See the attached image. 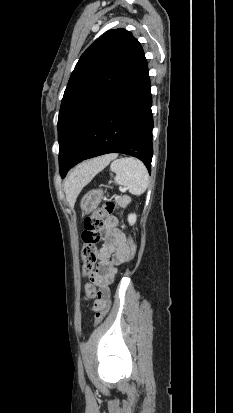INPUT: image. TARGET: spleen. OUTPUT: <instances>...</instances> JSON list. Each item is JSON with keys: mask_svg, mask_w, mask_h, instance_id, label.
<instances>
[{"mask_svg": "<svg viewBox=\"0 0 233 413\" xmlns=\"http://www.w3.org/2000/svg\"><path fill=\"white\" fill-rule=\"evenodd\" d=\"M111 171L116 174L117 185L124 186L132 195L143 194L149 184V174L145 165L135 158H119L111 163Z\"/></svg>", "mask_w": 233, "mask_h": 413, "instance_id": "3e777b00", "label": "spleen"}]
</instances>
